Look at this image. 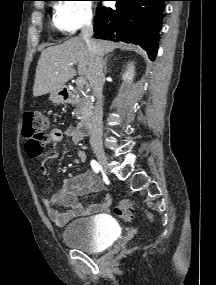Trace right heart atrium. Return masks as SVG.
<instances>
[{"instance_id": "d8ad5b80", "label": "right heart atrium", "mask_w": 216, "mask_h": 285, "mask_svg": "<svg viewBox=\"0 0 216 285\" xmlns=\"http://www.w3.org/2000/svg\"><path fill=\"white\" fill-rule=\"evenodd\" d=\"M93 19L91 3L87 0H64L55 8L54 23L65 33H74L89 25Z\"/></svg>"}]
</instances>
